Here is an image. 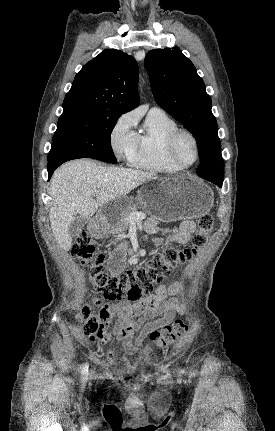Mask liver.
<instances>
[{
    "label": "liver",
    "instance_id": "1",
    "mask_svg": "<svg viewBox=\"0 0 275 431\" xmlns=\"http://www.w3.org/2000/svg\"><path fill=\"white\" fill-rule=\"evenodd\" d=\"M152 173L120 167L102 166L89 159H79L60 166L50 182L53 206L49 211L53 235L64 251L70 250L69 227L77 215L90 217L109 201L125 197L147 180ZM98 190L96 200L93 192Z\"/></svg>",
    "mask_w": 275,
    "mask_h": 431
}]
</instances>
